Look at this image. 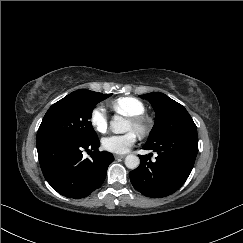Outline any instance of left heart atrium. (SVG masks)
I'll return each mask as SVG.
<instances>
[{
	"mask_svg": "<svg viewBox=\"0 0 243 243\" xmlns=\"http://www.w3.org/2000/svg\"><path fill=\"white\" fill-rule=\"evenodd\" d=\"M137 135L134 131H129L121 135H109L103 139V147L114 153H125L135 144Z\"/></svg>",
	"mask_w": 243,
	"mask_h": 243,
	"instance_id": "left-heart-atrium-1",
	"label": "left heart atrium"
}]
</instances>
